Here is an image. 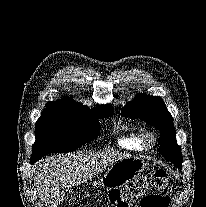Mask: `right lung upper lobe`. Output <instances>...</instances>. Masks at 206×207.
Wrapping results in <instances>:
<instances>
[{
  "instance_id": "obj_1",
  "label": "right lung upper lobe",
  "mask_w": 206,
  "mask_h": 207,
  "mask_svg": "<svg viewBox=\"0 0 206 207\" xmlns=\"http://www.w3.org/2000/svg\"><path fill=\"white\" fill-rule=\"evenodd\" d=\"M46 107H58V108H67L74 109L86 112H92V109L84 106L82 103H78L68 97H64L62 99H58L56 101H50L46 104ZM101 109H112L109 105H101L99 108L94 109L93 111L101 110Z\"/></svg>"
}]
</instances>
